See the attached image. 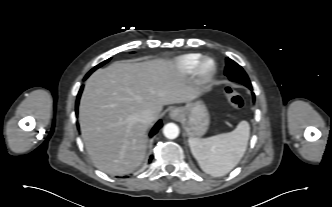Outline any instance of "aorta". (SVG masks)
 <instances>
[{"instance_id":"1","label":"aorta","mask_w":332,"mask_h":207,"mask_svg":"<svg viewBox=\"0 0 332 207\" xmlns=\"http://www.w3.org/2000/svg\"><path fill=\"white\" fill-rule=\"evenodd\" d=\"M163 134L168 139H175L179 135V127L174 123H168L163 128Z\"/></svg>"}]
</instances>
